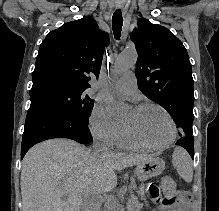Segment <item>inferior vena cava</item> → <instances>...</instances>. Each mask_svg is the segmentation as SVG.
<instances>
[{"label":"inferior vena cava","mask_w":219,"mask_h":211,"mask_svg":"<svg viewBox=\"0 0 219 211\" xmlns=\"http://www.w3.org/2000/svg\"><path fill=\"white\" fill-rule=\"evenodd\" d=\"M90 151V149H89ZM92 153L94 157H101V155H108V153H111L109 151L107 145L103 143V141H98V139H94L93 141V149ZM84 207H92L93 203L92 202H84L83 203ZM81 211H96L95 208H82Z\"/></svg>","instance_id":"602c4592"}]
</instances>
